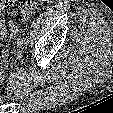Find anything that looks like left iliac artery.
Here are the masks:
<instances>
[{
  "instance_id": "44dca946",
  "label": "left iliac artery",
  "mask_w": 113,
  "mask_h": 113,
  "mask_svg": "<svg viewBox=\"0 0 113 113\" xmlns=\"http://www.w3.org/2000/svg\"><path fill=\"white\" fill-rule=\"evenodd\" d=\"M29 43V38H28V41H27V44Z\"/></svg>"
}]
</instances>
